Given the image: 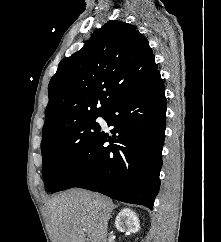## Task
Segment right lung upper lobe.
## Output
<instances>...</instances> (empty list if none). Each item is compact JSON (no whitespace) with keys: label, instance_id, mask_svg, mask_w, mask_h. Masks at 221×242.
I'll list each match as a JSON object with an SVG mask.
<instances>
[{"label":"right lung upper lobe","instance_id":"1","mask_svg":"<svg viewBox=\"0 0 221 242\" xmlns=\"http://www.w3.org/2000/svg\"><path fill=\"white\" fill-rule=\"evenodd\" d=\"M155 71L152 49L136 27L107 22L81 50L60 62L48 87L43 135L82 116L102 115Z\"/></svg>","mask_w":221,"mask_h":242}]
</instances>
